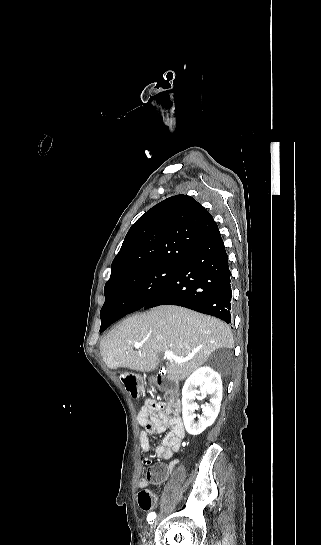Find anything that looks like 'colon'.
<instances>
[{
	"label": "colon",
	"instance_id": "obj_1",
	"mask_svg": "<svg viewBox=\"0 0 321 545\" xmlns=\"http://www.w3.org/2000/svg\"><path fill=\"white\" fill-rule=\"evenodd\" d=\"M119 378L129 395L132 398H139L140 383L138 378L128 370H121L119 372ZM138 503L142 510L150 511L155 508L157 501L152 491L149 489H142L138 493Z\"/></svg>",
	"mask_w": 321,
	"mask_h": 545
}]
</instances>
